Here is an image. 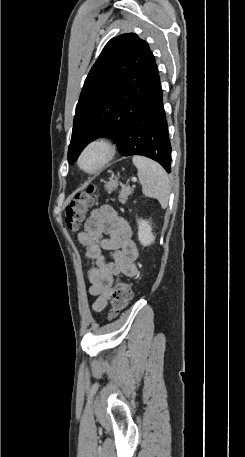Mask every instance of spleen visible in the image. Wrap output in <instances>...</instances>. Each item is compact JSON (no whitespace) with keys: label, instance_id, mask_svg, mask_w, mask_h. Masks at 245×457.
I'll use <instances>...</instances> for the list:
<instances>
[{"label":"spleen","instance_id":"spleen-1","mask_svg":"<svg viewBox=\"0 0 245 457\" xmlns=\"http://www.w3.org/2000/svg\"><path fill=\"white\" fill-rule=\"evenodd\" d=\"M132 160L138 170V178L142 184V192L150 198H157L162 208H166L169 202L170 184L169 176L161 164L134 154Z\"/></svg>","mask_w":245,"mask_h":457}]
</instances>
